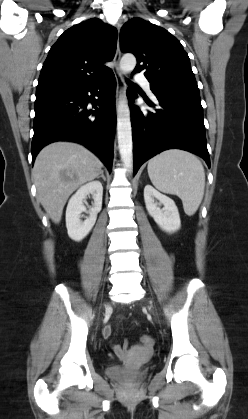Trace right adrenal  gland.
Listing matches in <instances>:
<instances>
[{
  "mask_svg": "<svg viewBox=\"0 0 248 419\" xmlns=\"http://www.w3.org/2000/svg\"><path fill=\"white\" fill-rule=\"evenodd\" d=\"M100 177H102L103 180L106 181L103 170L100 172V175L97 178H100Z\"/></svg>",
  "mask_w": 248,
  "mask_h": 419,
  "instance_id": "right-adrenal-gland-1",
  "label": "right adrenal gland"
}]
</instances>
